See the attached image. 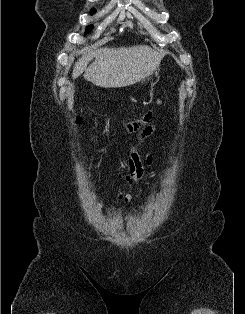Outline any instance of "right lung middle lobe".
I'll list each match as a JSON object with an SVG mask.
<instances>
[{
	"label": "right lung middle lobe",
	"instance_id": "obj_1",
	"mask_svg": "<svg viewBox=\"0 0 245 314\" xmlns=\"http://www.w3.org/2000/svg\"><path fill=\"white\" fill-rule=\"evenodd\" d=\"M93 13H95V9H93V10L91 11V14H93ZM91 28H92V25H91V26H88L85 33H88V32L91 30Z\"/></svg>",
	"mask_w": 245,
	"mask_h": 314
}]
</instances>
